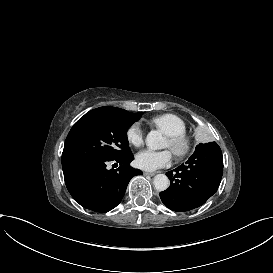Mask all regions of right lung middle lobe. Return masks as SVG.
Segmentation results:
<instances>
[{
  "instance_id": "1",
  "label": "right lung middle lobe",
  "mask_w": 273,
  "mask_h": 273,
  "mask_svg": "<svg viewBox=\"0 0 273 273\" xmlns=\"http://www.w3.org/2000/svg\"><path fill=\"white\" fill-rule=\"evenodd\" d=\"M135 120L105 107L89 111L68 133L62 166L78 159H114L129 153L127 130Z\"/></svg>"
}]
</instances>
